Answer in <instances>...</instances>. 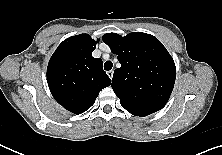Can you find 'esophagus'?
I'll use <instances>...</instances> for the list:
<instances>
[{
  "mask_svg": "<svg viewBox=\"0 0 222 155\" xmlns=\"http://www.w3.org/2000/svg\"><path fill=\"white\" fill-rule=\"evenodd\" d=\"M113 73H114L113 70H110V71L107 72V75L109 76L110 79H112Z\"/></svg>",
  "mask_w": 222,
  "mask_h": 155,
  "instance_id": "34e87169",
  "label": "esophagus"
}]
</instances>
